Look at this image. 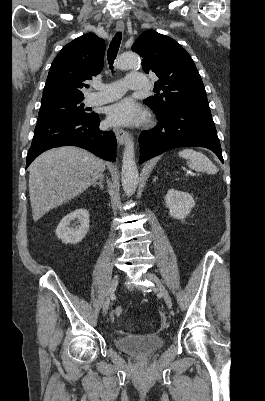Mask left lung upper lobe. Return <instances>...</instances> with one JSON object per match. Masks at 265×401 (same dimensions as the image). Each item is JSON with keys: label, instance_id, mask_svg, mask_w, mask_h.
<instances>
[{"label": "left lung upper lobe", "instance_id": "obj_1", "mask_svg": "<svg viewBox=\"0 0 265 401\" xmlns=\"http://www.w3.org/2000/svg\"><path fill=\"white\" fill-rule=\"evenodd\" d=\"M142 58L145 73H155V96L144 103L156 113L197 105L208 106L205 88L187 51L174 39L154 30L143 32L132 46Z\"/></svg>", "mask_w": 265, "mask_h": 401}]
</instances>
